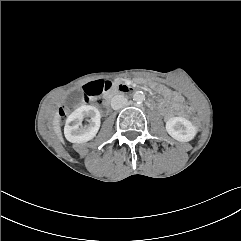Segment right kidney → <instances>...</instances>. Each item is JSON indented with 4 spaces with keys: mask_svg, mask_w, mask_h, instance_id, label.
<instances>
[{
    "mask_svg": "<svg viewBox=\"0 0 241 241\" xmlns=\"http://www.w3.org/2000/svg\"><path fill=\"white\" fill-rule=\"evenodd\" d=\"M85 117H91L90 123L83 127ZM100 112L90 105H83L73 111L67 118L64 127L66 139L71 143H84L92 140L100 128Z\"/></svg>",
    "mask_w": 241,
    "mask_h": 241,
    "instance_id": "right-kidney-1",
    "label": "right kidney"
}]
</instances>
